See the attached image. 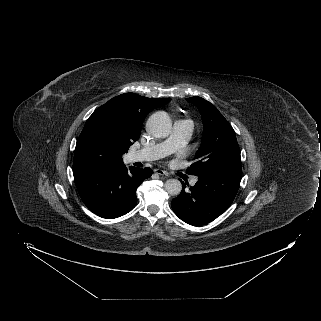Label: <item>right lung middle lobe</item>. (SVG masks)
Returning a JSON list of instances; mask_svg holds the SVG:
<instances>
[{
  "label": "right lung middle lobe",
  "instance_id": "1",
  "mask_svg": "<svg viewBox=\"0 0 321 321\" xmlns=\"http://www.w3.org/2000/svg\"><path fill=\"white\" fill-rule=\"evenodd\" d=\"M128 148L106 119L89 118L76 143L73 173L120 164Z\"/></svg>",
  "mask_w": 321,
  "mask_h": 321
}]
</instances>
